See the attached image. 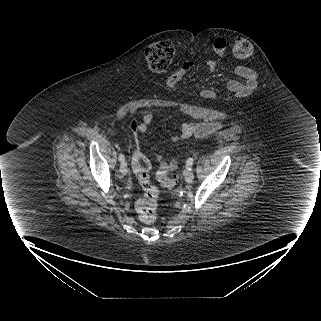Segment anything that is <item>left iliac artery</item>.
<instances>
[{
	"instance_id": "left-iliac-artery-1",
	"label": "left iliac artery",
	"mask_w": 321,
	"mask_h": 321,
	"mask_svg": "<svg viewBox=\"0 0 321 321\" xmlns=\"http://www.w3.org/2000/svg\"><path fill=\"white\" fill-rule=\"evenodd\" d=\"M193 158H189L186 162V166L188 169H191L192 165H193Z\"/></svg>"
}]
</instances>
